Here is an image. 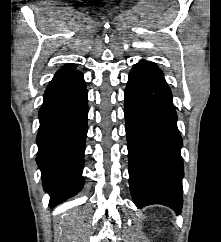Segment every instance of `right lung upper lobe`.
<instances>
[{
	"mask_svg": "<svg viewBox=\"0 0 221 242\" xmlns=\"http://www.w3.org/2000/svg\"><path fill=\"white\" fill-rule=\"evenodd\" d=\"M75 69H76L75 64L65 65L63 68H61L59 71H57V73L55 74L53 79L63 76L65 74H68L70 72H73V71H75Z\"/></svg>",
	"mask_w": 221,
	"mask_h": 242,
	"instance_id": "obj_1",
	"label": "right lung upper lobe"
}]
</instances>
